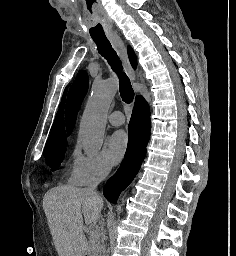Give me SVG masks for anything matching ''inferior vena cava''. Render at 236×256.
I'll return each mask as SVG.
<instances>
[{
	"label": "inferior vena cava",
	"mask_w": 236,
	"mask_h": 256,
	"mask_svg": "<svg viewBox=\"0 0 236 256\" xmlns=\"http://www.w3.org/2000/svg\"><path fill=\"white\" fill-rule=\"evenodd\" d=\"M103 178H104V172H102V170H98L96 176H93L92 182L91 184H89L88 188H84L85 192H87V194H90V196H92L94 200H98V202H101V198L100 196H98L96 188L98 184H100L101 180H103ZM102 240H103V256H107V250L104 246V240H107V236H104V234H102Z\"/></svg>",
	"instance_id": "1"
}]
</instances>
